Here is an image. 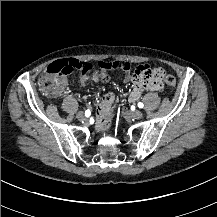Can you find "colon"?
<instances>
[{
	"label": "colon",
	"instance_id": "colon-1",
	"mask_svg": "<svg viewBox=\"0 0 217 217\" xmlns=\"http://www.w3.org/2000/svg\"><path fill=\"white\" fill-rule=\"evenodd\" d=\"M96 67L109 71H127L130 70L131 65L124 60H101L95 63L80 62L77 57L69 56L67 59H61L47 67L43 72L39 84L43 92L48 93L52 97H57L67 85L66 78L61 74L73 72L86 74ZM164 73L165 70L157 66L138 65L135 68L133 76L136 84H140L144 88L156 89L162 85ZM167 79V86L170 89H174L176 85L175 77L169 74Z\"/></svg>",
	"mask_w": 217,
	"mask_h": 217
}]
</instances>
